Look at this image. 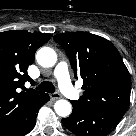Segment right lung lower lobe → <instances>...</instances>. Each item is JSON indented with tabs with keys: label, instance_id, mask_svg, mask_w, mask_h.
<instances>
[{
	"label": "right lung lower lobe",
	"instance_id": "right-lung-lower-lobe-1",
	"mask_svg": "<svg viewBox=\"0 0 136 136\" xmlns=\"http://www.w3.org/2000/svg\"><path fill=\"white\" fill-rule=\"evenodd\" d=\"M49 95L44 94L33 106L29 116L25 120V122L20 125L19 127H16L14 129L8 130L0 136H24L28 134L33 127L35 126V121H36V113L40 109L42 105H44L47 101H49Z\"/></svg>",
	"mask_w": 136,
	"mask_h": 136
}]
</instances>
